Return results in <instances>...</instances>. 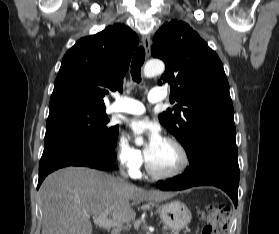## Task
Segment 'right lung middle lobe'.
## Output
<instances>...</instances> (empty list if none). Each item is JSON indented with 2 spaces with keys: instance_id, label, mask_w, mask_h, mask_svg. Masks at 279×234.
Instances as JSON below:
<instances>
[{
  "instance_id": "right-lung-middle-lobe-1",
  "label": "right lung middle lobe",
  "mask_w": 279,
  "mask_h": 234,
  "mask_svg": "<svg viewBox=\"0 0 279 234\" xmlns=\"http://www.w3.org/2000/svg\"><path fill=\"white\" fill-rule=\"evenodd\" d=\"M108 123L105 109L64 107L50 110L44 143L48 145L64 139H79L113 156L118 126H109Z\"/></svg>"
}]
</instances>
